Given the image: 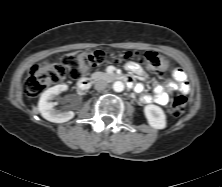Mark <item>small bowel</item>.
Returning <instances> with one entry per match:
<instances>
[{"instance_id": "1", "label": "small bowel", "mask_w": 222, "mask_h": 187, "mask_svg": "<svg viewBox=\"0 0 222 187\" xmlns=\"http://www.w3.org/2000/svg\"><path fill=\"white\" fill-rule=\"evenodd\" d=\"M127 69L137 75L143 74L142 69L134 63L128 64ZM174 77L178 81L177 87L179 88V90L185 93L188 92L190 87L184 71L179 68L175 69ZM136 90H142V86L136 85ZM142 101L144 103L156 102L160 105H166L169 102V95L166 92L165 87L163 85L158 84L153 88L151 95H144L142 97Z\"/></svg>"}]
</instances>
